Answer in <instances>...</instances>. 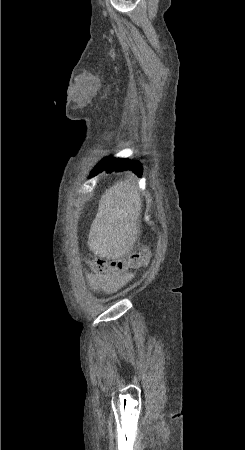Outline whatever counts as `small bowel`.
I'll return each mask as SVG.
<instances>
[{
	"mask_svg": "<svg viewBox=\"0 0 245 450\" xmlns=\"http://www.w3.org/2000/svg\"><path fill=\"white\" fill-rule=\"evenodd\" d=\"M86 278L89 283L97 290L115 291L125 285L130 279H132V273H116L114 271H107L104 274H94L91 272H85Z\"/></svg>",
	"mask_w": 245,
	"mask_h": 450,
	"instance_id": "small-bowel-1",
	"label": "small bowel"
}]
</instances>
